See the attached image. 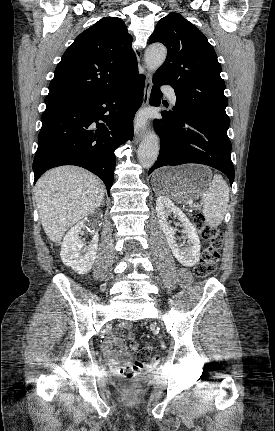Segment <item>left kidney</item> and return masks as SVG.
Masks as SVG:
<instances>
[{
    "instance_id": "obj_1",
    "label": "left kidney",
    "mask_w": 275,
    "mask_h": 431,
    "mask_svg": "<svg viewBox=\"0 0 275 431\" xmlns=\"http://www.w3.org/2000/svg\"><path fill=\"white\" fill-rule=\"evenodd\" d=\"M156 213L160 227L162 228L168 245L175 258L186 267L194 266L200 257V240L196 228L189 221L186 215L168 198L160 196L156 200ZM173 213L184 227L188 247L180 248L175 238V229L168 222V216Z\"/></svg>"
}]
</instances>
